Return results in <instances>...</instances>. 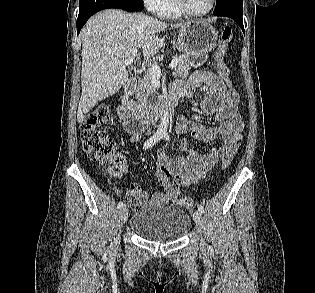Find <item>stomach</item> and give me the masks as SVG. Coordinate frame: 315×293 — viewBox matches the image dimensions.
<instances>
[{
  "label": "stomach",
  "instance_id": "obj_1",
  "mask_svg": "<svg viewBox=\"0 0 315 293\" xmlns=\"http://www.w3.org/2000/svg\"><path fill=\"white\" fill-rule=\"evenodd\" d=\"M217 41L218 32L202 20L188 22L178 33V48L189 58L192 67H199L207 61Z\"/></svg>",
  "mask_w": 315,
  "mask_h": 293
}]
</instances>
